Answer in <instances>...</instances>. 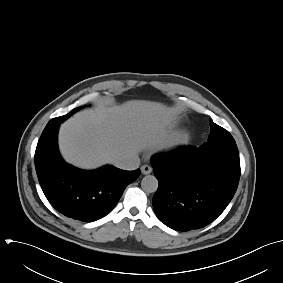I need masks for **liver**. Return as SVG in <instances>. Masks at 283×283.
<instances>
[{"mask_svg":"<svg viewBox=\"0 0 283 283\" xmlns=\"http://www.w3.org/2000/svg\"><path fill=\"white\" fill-rule=\"evenodd\" d=\"M174 116L173 108L142 100L86 110L61 125L60 151L67 162L83 169L113 164L163 136Z\"/></svg>","mask_w":283,"mask_h":283,"instance_id":"liver-1","label":"liver"}]
</instances>
